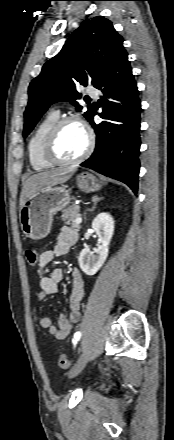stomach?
<instances>
[{"label": "stomach", "mask_w": 174, "mask_h": 440, "mask_svg": "<svg viewBox=\"0 0 174 440\" xmlns=\"http://www.w3.org/2000/svg\"><path fill=\"white\" fill-rule=\"evenodd\" d=\"M76 183L79 189L88 193L102 187V182L88 172L79 174ZM70 201V190L66 185L49 186L36 192L20 210L23 233L34 240L45 238L50 233L53 215L63 210Z\"/></svg>", "instance_id": "0dacf381"}]
</instances>
